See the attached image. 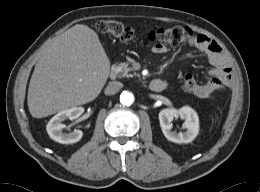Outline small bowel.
I'll list each match as a JSON object with an SVG mask.
<instances>
[{"instance_id": "c3829d8e", "label": "small bowel", "mask_w": 260, "mask_h": 192, "mask_svg": "<svg viewBox=\"0 0 260 192\" xmlns=\"http://www.w3.org/2000/svg\"><path fill=\"white\" fill-rule=\"evenodd\" d=\"M190 45L205 53L212 65V69L208 73L207 82L205 84H199L198 91L194 94L201 98H208L215 91L230 87L233 83L232 70L228 66L217 43L205 35L199 34L192 37ZM152 52L155 54H164L167 52V48L162 44H154Z\"/></svg>"}]
</instances>
